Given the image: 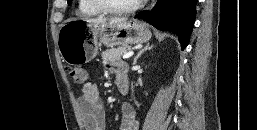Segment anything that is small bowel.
Here are the masks:
<instances>
[{
  "label": "small bowel",
  "mask_w": 257,
  "mask_h": 130,
  "mask_svg": "<svg viewBox=\"0 0 257 130\" xmlns=\"http://www.w3.org/2000/svg\"><path fill=\"white\" fill-rule=\"evenodd\" d=\"M107 67L115 75L117 83L121 80L127 81V67L124 64L109 63ZM78 104L85 130H105V110L95 84L90 82L84 84ZM120 130H139L136 112L127 103L121 107Z\"/></svg>",
  "instance_id": "1"
}]
</instances>
